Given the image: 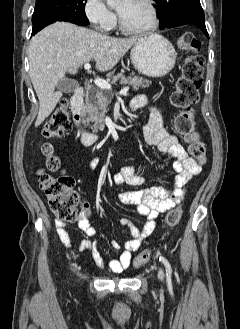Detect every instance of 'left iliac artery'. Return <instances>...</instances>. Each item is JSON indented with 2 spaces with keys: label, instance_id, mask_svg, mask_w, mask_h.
Masks as SVG:
<instances>
[{
  "label": "left iliac artery",
  "instance_id": "left-iliac-artery-1",
  "mask_svg": "<svg viewBox=\"0 0 240 329\" xmlns=\"http://www.w3.org/2000/svg\"><path fill=\"white\" fill-rule=\"evenodd\" d=\"M160 260L162 261V263L164 264V266L166 268L167 276H170L172 273V268H171L170 263L168 262V260L165 257L160 256Z\"/></svg>",
  "mask_w": 240,
  "mask_h": 329
}]
</instances>
